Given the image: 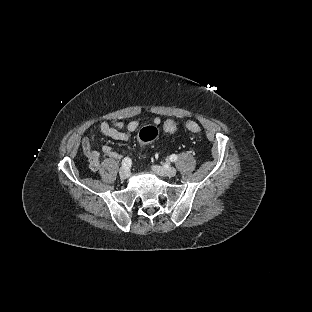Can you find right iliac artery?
Here are the masks:
<instances>
[{
	"label": "right iliac artery",
	"mask_w": 312,
	"mask_h": 312,
	"mask_svg": "<svg viewBox=\"0 0 312 312\" xmlns=\"http://www.w3.org/2000/svg\"><path fill=\"white\" fill-rule=\"evenodd\" d=\"M132 161L130 158L126 157L122 160L123 167L129 168L131 167Z\"/></svg>",
	"instance_id": "obj_1"
}]
</instances>
